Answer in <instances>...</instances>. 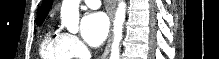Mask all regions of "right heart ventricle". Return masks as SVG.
<instances>
[{
  "mask_svg": "<svg viewBox=\"0 0 219 59\" xmlns=\"http://www.w3.org/2000/svg\"><path fill=\"white\" fill-rule=\"evenodd\" d=\"M39 54L42 59H72L67 34L58 30H49L41 40Z\"/></svg>",
  "mask_w": 219,
  "mask_h": 59,
  "instance_id": "1",
  "label": "right heart ventricle"
}]
</instances>
